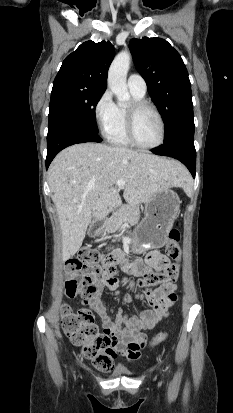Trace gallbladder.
Wrapping results in <instances>:
<instances>
[{"label": "gallbladder", "instance_id": "gallbladder-1", "mask_svg": "<svg viewBox=\"0 0 233 413\" xmlns=\"http://www.w3.org/2000/svg\"><path fill=\"white\" fill-rule=\"evenodd\" d=\"M92 221H94V220H92ZM89 233H90V231L88 230L87 234H89Z\"/></svg>", "mask_w": 233, "mask_h": 413}]
</instances>
